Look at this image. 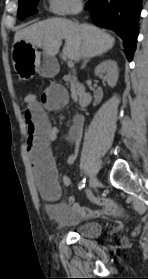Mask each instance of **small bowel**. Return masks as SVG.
<instances>
[{"mask_svg":"<svg viewBox=\"0 0 148 279\" xmlns=\"http://www.w3.org/2000/svg\"><path fill=\"white\" fill-rule=\"evenodd\" d=\"M68 95L59 84H50L34 104L27 105L25 119L28 132L27 151L32 163L36 185L42 196L49 202L48 213L61 223H75L89 218H98L115 212L117 204L108 198L92 197L96 208L82 207L75 196H70L67 203H54L59 195L58 170L53 158L50 143L56 137V130L50 122L47 111L58 110L66 105ZM84 119L75 116L70 132L72 152L67 163L72 164L79 148ZM65 186L71 185L67 175L61 177Z\"/></svg>","mask_w":148,"mask_h":279,"instance_id":"c3829d8e","label":"small bowel"}]
</instances>
